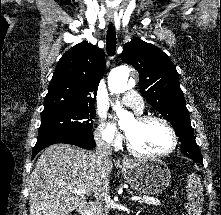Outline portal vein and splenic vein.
I'll list each match as a JSON object with an SVG mask.
<instances>
[{
    "label": "portal vein and splenic vein",
    "mask_w": 221,
    "mask_h": 215,
    "mask_svg": "<svg viewBox=\"0 0 221 215\" xmlns=\"http://www.w3.org/2000/svg\"><path fill=\"white\" fill-rule=\"evenodd\" d=\"M75 191L77 194H86L87 193V191L85 189H75ZM140 198L141 197H139V196H133L130 198V200L136 201V200H139Z\"/></svg>",
    "instance_id": "18ae733b"
}]
</instances>
